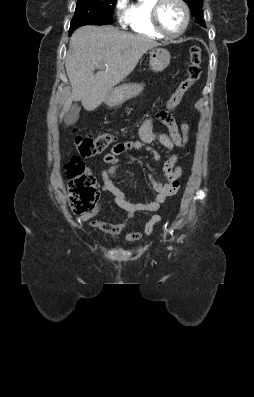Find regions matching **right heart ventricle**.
<instances>
[{
	"label": "right heart ventricle",
	"instance_id": "1",
	"mask_svg": "<svg viewBox=\"0 0 254 397\" xmlns=\"http://www.w3.org/2000/svg\"><path fill=\"white\" fill-rule=\"evenodd\" d=\"M156 0H135L129 5L128 25L139 35L160 39L161 36L152 23V8Z\"/></svg>",
	"mask_w": 254,
	"mask_h": 397
}]
</instances>
